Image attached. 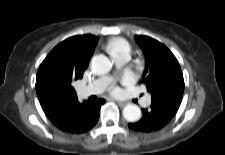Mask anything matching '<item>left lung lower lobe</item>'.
Wrapping results in <instances>:
<instances>
[{"mask_svg":"<svg viewBox=\"0 0 225 155\" xmlns=\"http://www.w3.org/2000/svg\"><path fill=\"white\" fill-rule=\"evenodd\" d=\"M177 110L170 105L152 103L149 108L142 110L143 117L137 122L129 123L128 127L139 132L158 131L171 121Z\"/></svg>","mask_w":225,"mask_h":155,"instance_id":"left-lung-lower-lobe-1","label":"left lung lower lobe"}]
</instances>
